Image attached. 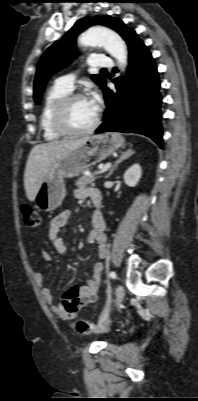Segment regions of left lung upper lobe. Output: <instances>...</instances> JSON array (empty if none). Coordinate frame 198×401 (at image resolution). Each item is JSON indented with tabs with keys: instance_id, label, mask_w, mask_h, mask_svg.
Here are the masks:
<instances>
[{
	"instance_id": "obj_1",
	"label": "left lung upper lobe",
	"mask_w": 198,
	"mask_h": 401,
	"mask_svg": "<svg viewBox=\"0 0 198 401\" xmlns=\"http://www.w3.org/2000/svg\"><path fill=\"white\" fill-rule=\"evenodd\" d=\"M93 25H103L118 32L125 40L132 29L118 19L108 16L85 17L79 20L67 34L58 42L51 45L41 57L34 80V100L36 104L41 101L45 84L52 74L67 66L76 57L75 42L79 33ZM92 80L102 88L105 79L101 75H92Z\"/></svg>"
}]
</instances>
